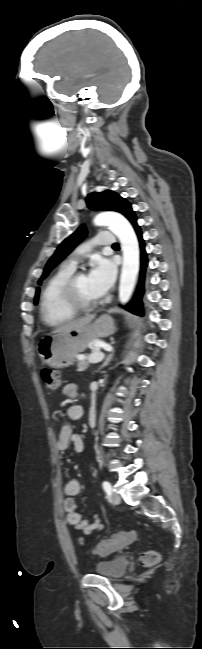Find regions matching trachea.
<instances>
[{
    "label": "trachea",
    "mask_w": 202,
    "mask_h": 649,
    "mask_svg": "<svg viewBox=\"0 0 202 649\" xmlns=\"http://www.w3.org/2000/svg\"><path fill=\"white\" fill-rule=\"evenodd\" d=\"M118 246H119V244H118V243H115V244L113 245V247H118Z\"/></svg>",
    "instance_id": "3493384b"
}]
</instances>
